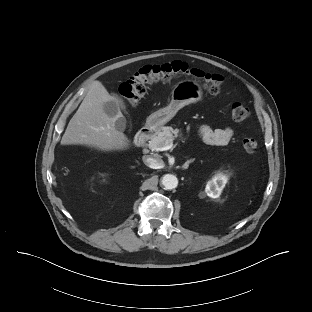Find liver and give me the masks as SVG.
Listing matches in <instances>:
<instances>
[{"instance_id": "obj_1", "label": "liver", "mask_w": 312, "mask_h": 312, "mask_svg": "<svg viewBox=\"0 0 312 312\" xmlns=\"http://www.w3.org/2000/svg\"><path fill=\"white\" fill-rule=\"evenodd\" d=\"M113 100L103 84L95 81L68 123L61 144L85 145L101 151L129 148V139L116 128L117 117H109L104 111V103Z\"/></svg>"}]
</instances>
